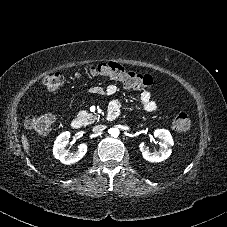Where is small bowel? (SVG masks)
<instances>
[{
	"mask_svg": "<svg viewBox=\"0 0 227 227\" xmlns=\"http://www.w3.org/2000/svg\"><path fill=\"white\" fill-rule=\"evenodd\" d=\"M88 92L97 95L113 96L117 92V87L115 85H109L106 88L95 86L90 88ZM140 103L146 112L152 113L157 110V103L153 100L151 93L147 90L141 92ZM110 109H116L119 113V102H112Z\"/></svg>",
	"mask_w": 227,
	"mask_h": 227,
	"instance_id": "c3829d8e",
	"label": "small bowel"
}]
</instances>
